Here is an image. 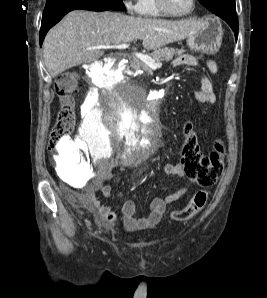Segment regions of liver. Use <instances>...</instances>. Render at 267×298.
<instances>
[{
  "mask_svg": "<svg viewBox=\"0 0 267 298\" xmlns=\"http://www.w3.org/2000/svg\"><path fill=\"white\" fill-rule=\"evenodd\" d=\"M203 27L204 22L192 19L172 21L75 10L47 33L43 43L44 63L51 77H56L104 54L103 50L88 48L142 39L144 48L155 50L196 35Z\"/></svg>",
  "mask_w": 267,
  "mask_h": 298,
  "instance_id": "obj_1",
  "label": "liver"
}]
</instances>
